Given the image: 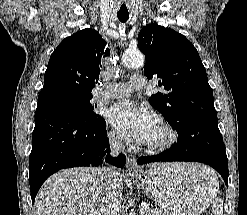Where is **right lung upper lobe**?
<instances>
[{
	"label": "right lung upper lobe",
	"mask_w": 247,
	"mask_h": 215,
	"mask_svg": "<svg viewBox=\"0 0 247 215\" xmlns=\"http://www.w3.org/2000/svg\"><path fill=\"white\" fill-rule=\"evenodd\" d=\"M106 41L93 29L65 38L51 54L44 74V87L67 88L91 94L98 82L101 57L110 55Z\"/></svg>",
	"instance_id": "right-lung-upper-lobe-1"
}]
</instances>
